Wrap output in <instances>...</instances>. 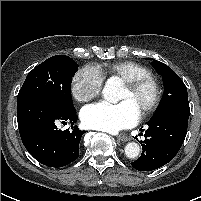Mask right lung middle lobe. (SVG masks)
I'll use <instances>...</instances> for the list:
<instances>
[{
  "mask_svg": "<svg viewBox=\"0 0 201 201\" xmlns=\"http://www.w3.org/2000/svg\"><path fill=\"white\" fill-rule=\"evenodd\" d=\"M78 64L68 56L56 55L30 71L22 85L17 106L35 99H45L63 109H73L71 98L72 77Z\"/></svg>",
  "mask_w": 201,
  "mask_h": 201,
  "instance_id": "dd1d6c3e",
  "label": "right lung middle lobe"
}]
</instances>
